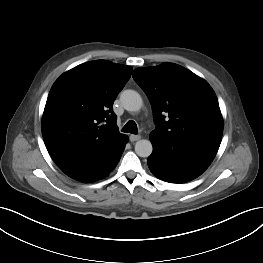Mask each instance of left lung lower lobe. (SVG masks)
Here are the masks:
<instances>
[{
  "instance_id": "left-lung-lower-lobe-1",
  "label": "left lung lower lobe",
  "mask_w": 263,
  "mask_h": 263,
  "mask_svg": "<svg viewBox=\"0 0 263 263\" xmlns=\"http://www.w3.org/2000/svg\"><path fill=\"white\" fill-rule=\"evenodd\" d=\"M153 153L148 157L150 171L170 183H184L200 176L213 161L218 147L194 142L171 140L150 134Z\"/></svg>"
}]
</instances>
